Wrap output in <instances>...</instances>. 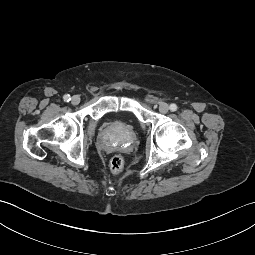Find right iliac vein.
Instances as JSON below:
<instances>
[{
	"label": "right iliac vein",
	"mask_w": 255,
	"mask_h": 255,
	"mask_svg": "<svg viewBox=\"0 0 255 255\" xmlns=\"http://www.w3.org/2000/svg\"><path fill=\"white\" fill-rule=\"evenodd\" d=\"M71 103L73 105H78L80 103V97L78 95L73 96L71 99Z\"/></svg>",
	"instance_id": "right-iliac-vein-1"
}]
</instances>
